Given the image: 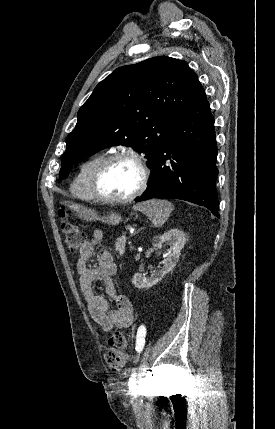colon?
<instances>
[{
	"label": "colon",
	"mask_w": 275,
	"mask_h": 429,
	"mask_svg": "<svg viewBox=\"0 0 275 429\" xmlns=\"http://www.w3.org/2000/svg\"><path fill=\"white\" fill-rule=\"evenodd\" d=\"M59 215L62 218L61 229L67 248L70 252L75 253L84 243V233L74 222L67 218L64 208L59 210ZM108 343L111 349L105 353L104 361L110 370L117 372L127 361L128 340L122 331L115 330L110 335Z\"/></svg>",
	"instance_id": "5ec220e1"
}]
</instances>
